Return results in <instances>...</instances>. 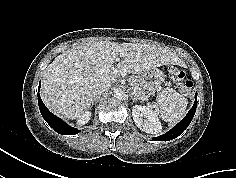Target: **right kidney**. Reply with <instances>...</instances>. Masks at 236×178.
<instances>
[{"instance_id": "1", "label": "right kidney", "mask_w": 236, "mask_h": 178, "mask_svg": "<svg viewBox=\"0 0 236 178\" xmlns=\"http://www.w3.org/2000/svg\"><path fill=\"white\" fill-rule=\"evenodd\" d=\"M90 119H91V113L89 111H86L85 113H83V115L79 117L78 124L85 125L86 123L89 122Z\"/></svg>"}]
</instances>
